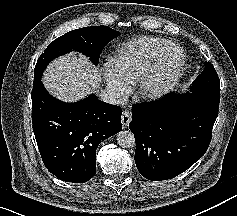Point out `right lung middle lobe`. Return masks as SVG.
Here are the masks:
<instances>
[{
	"instance_id": "obj_1",
	"label": "right lung middle lobe",
	"mask_w": 237,
	"mask_h": 216,
	"mask_svg": "<svg viewBox=\"0 0 237 216\" xmlns=\"http://www.w3.org/2000/svg\"><path fill=\"white\" fill-rule=\"evenodd\" d=\"M120 33L108 26L83 27L72 30L52 41L40 55L34 72V83L41 80L42 73L49 62L72 50L86 54L97 65L103 47Z\"/></svg>"
}]
</instances>
